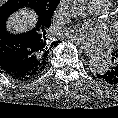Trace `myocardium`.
<instances>
[{
    "label": "myocardium",
    "mask_w": 118,
    "mask_h": 118,
    "mask_svg": "<svg viewBox=\"0 0 118 118\" xmlns=\"http://www.w3.org/2000/svg\"><path fill=\"white\" fill-rule=\"evenodd\" d=\"M109 25L115 40H118V14H113L110 17Z\"/></svg>",
    "instance_id": "obj_1"
}]
</instances>
